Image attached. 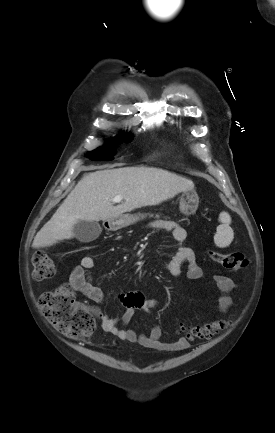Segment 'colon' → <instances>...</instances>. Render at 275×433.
<instances>
[{
	"instance_id": "5ec220e1",
	"label": "colon",
	"mask_w": 275,
	"mask_h": 433,
	"mask_svg": "<svg viewBox=\"0 0 275 433\" xmlns=\"http://www.w3.org/2000/svg\"><path fill=\"white\" fill-rule=\"evenodd\" d=\"M210 257L232 271H238L247 265V259L240 252H210ZM32 264L35 279H49L57 273L55 263L44 252H36ZM40 306L48 321L69 337H88L95 328L93 316L83 304L75 300L74 290L70 285L64 284L54 291L44 293L40 298ZM228 325L227 320L219 319L189 328L181 326V329L189 339L206 340L225 330Z\"/></svg>"
}]
</instances>
